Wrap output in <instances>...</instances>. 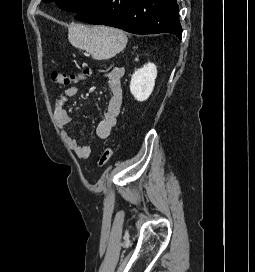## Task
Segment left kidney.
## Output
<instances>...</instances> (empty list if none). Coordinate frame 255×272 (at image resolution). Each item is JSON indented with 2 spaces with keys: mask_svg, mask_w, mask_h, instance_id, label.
<instances>
[{
  "mask_svg": "<svg viewBox=\"0 0 255 272\" xmlns=\"http://www.w3.org/2000/svg\"><path fill=\"white\" fill-rule=\"evenodd\" d=\"M157 77V67L153 63H148L137 69L131 77L130 91L138 101H145L151 95L155 79Z\"/></svg>",
  "mask_w": 255,
  "mask_h": 272,
  "instance_id": "5707ae66",
  "label": "left kidney"
}]
</instances>
